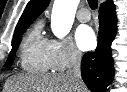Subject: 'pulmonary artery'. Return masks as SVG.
<instances>
[{
	"label": "pulmonary artery",
	"instance_id": "pulmonary-artery-1",
	"mask_svg": "<svg viewBox=\"0 0 127 92\" xmlns=\"http://www.w3.org/2000/svg\"><path fill=\"white\" fill-rule=\"evenodd\" d=\"M76 17L80 22H88L90 20V12L82 7L77 11Z\"/></svg>",
	"mask_w": 127,
	"mask_h": 92
}]
</instances>
